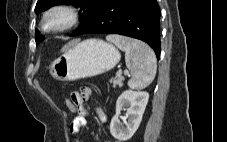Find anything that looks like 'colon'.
<instances>
[{"label": "colon", "mask_w": 227, "mask_h": 142, "mask_svg": "<svg viewBox=\"0 0 227 142\" xmlns=\"http://www.w3.org/2000/svg\"><path fill=\"white\" fill-rule=\"evenodd\" d=\"M66 106L68 108V110L75 115V117H77L79 115L78 109L76 107V105L73 103V101L71 99H66L65 101Z\"/></svg>", "instance_id": "obj_1"}]
</instances>
